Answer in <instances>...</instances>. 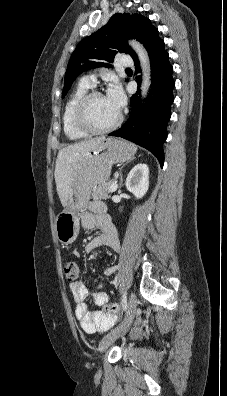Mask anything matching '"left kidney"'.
Listing matches in <instances>:
<instances>
[{
  "label": "left kidney",
  "mask_w": 227,
  "mask_h": 396,
  "mask_svg": "<svg viewBox=\"0 0 227 396\" xmlns=\"http://www.w3.org/2000/svg\"><path fill=\"white\" fill-rule=\"evenodd\" d=\"M149 187V168L147 164H137L129 172L126 178V188L137 199L142 198Z\"/></svg>",
  "instance_id": "5707ae66"
}]
</instances>
